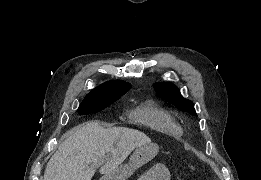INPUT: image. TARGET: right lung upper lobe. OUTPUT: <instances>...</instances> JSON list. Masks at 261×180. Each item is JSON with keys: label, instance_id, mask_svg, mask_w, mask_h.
Instances as JSON below:
<instances>
[{"label": "right lung upper lobe", "instance_id": "1", "mask_svg": "<svg viewBox=\"0 0 261 180\" xmlns=\"http://www.w3.org/2000/svg\"><path fill=\"white\" fill-rule=\"evenodd\" d=\"M130 88L131 85L123 81H108L93 89L86 97H118L125 94Z\"/></svg>", "mask_w": 261, "mask_h": 180}]
</instances>
